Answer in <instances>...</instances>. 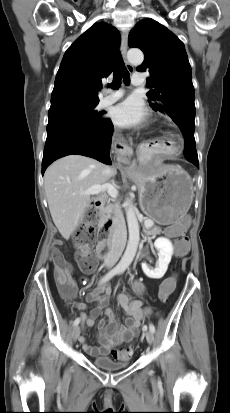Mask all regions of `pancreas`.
<instances>
[{"label": "pancreas", "mask_w": 230, "mask_h": 413, "mask_svg": "<svg viewBox=\"0 0 230 413\" xmlns=\"http://www.w3.org/2000/svg\"><path fill=\"white\" fill-rule=\"evenodd\" d=\"M115 206L108 202L100 209V216L110 218ZM161 232V228L159 226H153L151 229L146 230L148 235H155Z\"/></svg>", "instance_id": "pancreas-1"}]
</instances>
